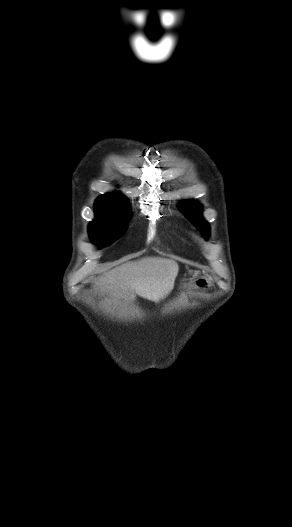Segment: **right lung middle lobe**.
Masks as SVG:
<instances>
[{"label":"right lung middle lobe","mask_w":292,"mask_h":527,"mask_svg":"<svg viewBox=\"0 0 292 527\" xmlns=\"http://www.w3.org/2000/svg\"><path fill=\"white\" fill-rule=\"evenodd\" d=\"M96 219L89 225L91 240L101 246L117 240L124 232L129 218V207L96 202Z\"/></svg>","instance_id":"obj_1"}]
</instances>
